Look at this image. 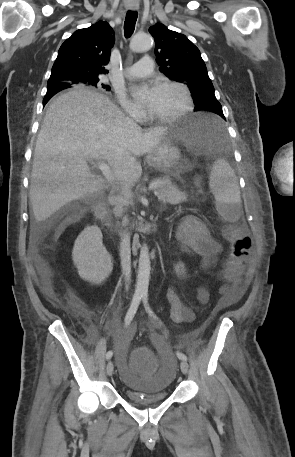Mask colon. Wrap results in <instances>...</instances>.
I'll use <instances>...</instances> for the list:
<instances>
[{"mask_svg":"<svg viewBox=\"0 0 295 457\" xmlns=\"http://www.w3.org/2000/svg\"><path fill=\"white\" fill-rule=\"evenodd\" d=\"M224 236L229 242L230 250L224 263L223 277L234 284L237 283L249 255L252 239L241 227L236 226L226 227ZM152 354V346H133L130 360L131 372H155V358Z\"/></svg>","mask_w":295,"mask_h":457,"instance_id":"5ec220e1","label":"colon"}]
</instances>
